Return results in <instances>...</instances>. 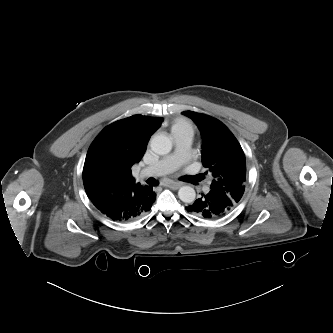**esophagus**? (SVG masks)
<instances>
[{
  "instance_id": "esophagus-1",
  "label": "esophagus",
  "mask_w": 333,
  "mask_h": 333,
  "mask_svg": "<svg viewBox=\"0 0 333 333\" xmlns=\"http://www.w3.org/2000/svg\"><path fill=\"white\" fill-rule=\"evenodd\" d=\"M164 185L172 189H178L182 184L180 182L167 181Z\"/></svg>"
}]
</instances>
